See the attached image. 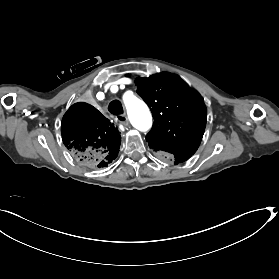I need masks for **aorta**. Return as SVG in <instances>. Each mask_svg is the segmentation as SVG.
Masks as SVG:
<instances>
[{"mask_svg": "<svg viewBox=\"0 0 279 279\" xmlns=\"http://www.w3.org/2000/svg\"><path fill=\"white\" fill-rule=\"evenodd\" d=\"M123 101L133 127L139 131L149 130L152 126V116L148 106L134 95L124 96Z\"/></svg>", "mask_w": 279, "mask_h": 279, "instance_id": "1", "label": "aorta"}]
</instances>
